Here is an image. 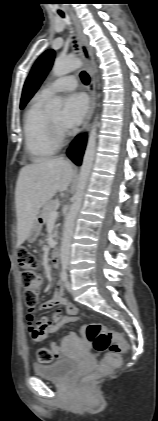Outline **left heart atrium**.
<instances>
[{"label": "left heart atrium", "instance_id": "obj_1", "mask_svg": "<svg viewBox=\"0 0 158 421\" xmlns=\"http://www.w3.org/2000/svg\"><path fill=\"white\" fill-rule=\"evenodd\" d=\"M88 104L84 95L74 93L64 100V108L60 119V124L65 129L78 126L86 112Z\"/></svg>", "mask_w": 158, "mask_h": 421}]
</instances>
